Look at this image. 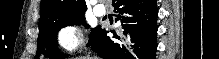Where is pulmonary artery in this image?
Wrapping results in <instances>:
<instances>
[{
	"instance_id": "pulmonary-artery-1",
	"label": "pulmonary artery",
	"mask_w": 219,
	"mask_h": 59,
	"mask_svg": "<svg viewBox=\"0 0 219 59\" xmlns=\"http://www.w3.org/2000/svg\"><path fill=\"white\" fill-rule=\"evenodd\" d=\"M93 11L97 16H103L106 13V8L102 5H95Z\"/></svg>"
}]
</instances>
